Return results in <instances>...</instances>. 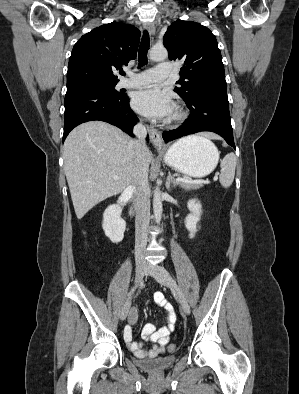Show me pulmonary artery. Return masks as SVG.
Here are the masks:
<instances>
[{
  "instance_id": "e3ab8cb5",
  "label": "pulmonary artery",
  "mask_w": 299,
  "mask_h": 394,
  "mask_svg": "<svg viewBox=\"0 0 299 394\" xmlns=\"http://www.w3.org/2000/svg\"><path fill=\"white\" fill-rule=\"evenodd\" d=\"M171 74V65L161 63L155 68L140 73H129V77L122 79L117 84L118 88L148 87L156 82L168 78Z\"/></svg>"
}]
</instances>
